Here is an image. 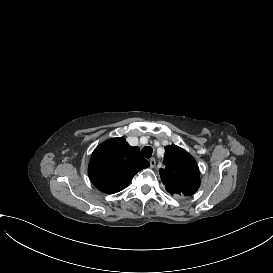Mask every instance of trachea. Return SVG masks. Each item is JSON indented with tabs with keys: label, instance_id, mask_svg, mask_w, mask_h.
Wrapping results in <instances>:
<instances>
[{
	"label": "trachea",
	"instance_id": "1",
	"mask_svg": "<svg viewBox=\"0 0 273 273\" xmlns=\"http://www.w3.org/2000/svg\"><path fill=\"white\" fill-rule=\"evenodd\" d=\"M152 153H153L152 147H150V146L143 147V149H142V155L145 158H150L152 156Z\"/></svg>",
	"mask_w": 273,
	"mask_h": 273
}]
</instances>
